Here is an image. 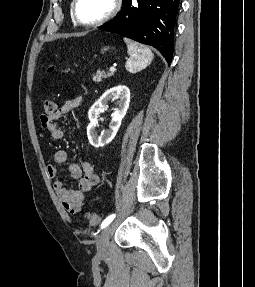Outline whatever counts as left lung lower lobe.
<instances>
[{"label": "left lung lower lobe", "instance_id": "0a47b994", "mask_svg": "<svg viewBox=\"0 0 255 287\" xmlns=\"http://www.w3.org/2000/svg\"><path fill=\"white\" fill-rule=\"evenodd\" d=\"M179 5L180 0H123L118 16L99 29L151 45L170 64Z\"/></svg>", "mask_w": 255, "mask_h": 287}]
</instances>
